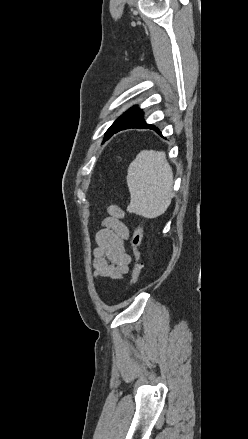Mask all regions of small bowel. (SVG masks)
<instances>
[{
	"instance_id": "c3829d8e",
	"label": "small bowel",
	"mask_w": 248,
	"mask_h": 439,
	"mask_svg": "<svg viewBox=\"0 0 248 439\" xmlns=\"http://www.w3.org/2000/svg\"><path fill=\"white\" fill-rule=\"evenodd\" d=\"M107 217L96 234L92 266L96 278L121 279L129 271L131 256L125 249L129 229L124 223L125 212L116 205L107 207Z\"/></svg>"
}]
</instances>
